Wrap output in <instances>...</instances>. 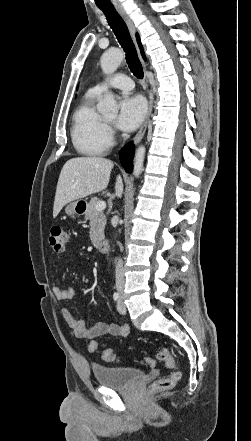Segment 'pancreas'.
I'll use <instances>...</instances> for the list:
<instances>
[{"mask_svg": "<svg viewBox=\"0 0 251 441\" xmlns=\"http://www.w3.org/2000/svg\"><path fill=\"white\" fill-rule=\"evenodd\" d=\"M99 199L94 197L87 204L85 218L90 221V239L92 243L96 244L104 238V229L106 225V217L103 211L96 210L95 206Z\"/></svg>", "mask_w": 251, "mask_h": 441, "instance_id": "pancreas-1", "label": "pancreas"}]
</instances>
